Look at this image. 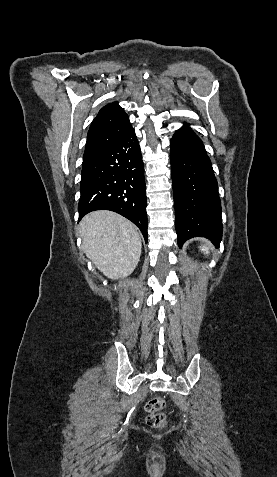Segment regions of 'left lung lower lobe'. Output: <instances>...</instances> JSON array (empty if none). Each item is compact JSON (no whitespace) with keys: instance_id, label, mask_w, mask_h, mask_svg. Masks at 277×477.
<instances>
[{"instance_id":"left-lung-lower-lobe-1","label":"left lung lower lobe","mask_w":277,"mask_h":477,"mask_svg":"<svg viewBox=\"0 0 277 477\" xmlns=\"http://www.w3.org/2000/svg\"><path fill=\"white\" fill-rule=\"evenodd\" d=\"M170 147L178 245L201 236L219 247L223 231L221 202L204 145L185 124L174 134Z\"/></svg>"}]
</instances>
